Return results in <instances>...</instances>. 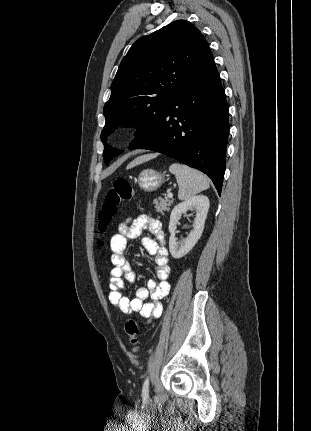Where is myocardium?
<instances>
[{"mask_svg": "<svg viewBox=\"0 0 311 431\" xmlns=\"http://www.w3.org/2000/svg\"><path fill=\"white\" fill-rule=\"evenodd\" d=\"M149 131V124L140 118L127 120L121 127V133L127 138L138 139Z\"/></svg>", "mask_w": 311, "mask_h": 431, "instance_id": "f54148a6", "label": "myocardium"}]
</instances>
